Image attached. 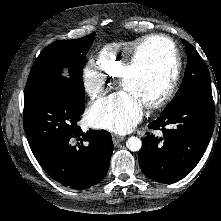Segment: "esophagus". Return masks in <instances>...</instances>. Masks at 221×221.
I'll use <instances>...</instances> for the list:
<instances>
[{
  "mask_svg": "<svg viewBox=\"0 0 221 221\" xmlns=\"http://www.w3.org/2000/svg\"><path fill=\"white\" fill-rule=\"evenodd\" d=\"M125 138L122 136H119L117 134H113L112 135V140H113V144L114 146H117L120 142H122Z\"/></svg>",
  "mask_w": 221,
  "mask_h": 221,
  "instance_id": "34e87169",
  "label": "esophagus"
}]
</instances>
